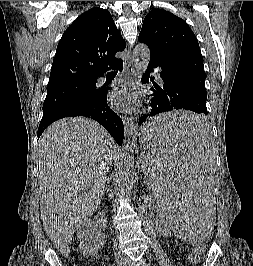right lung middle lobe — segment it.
<instances>
[{
	"label": "right lung middle lobe",
	"mask_w": 253,
	"mask_h": 266,
	"mask_svg": "<svg viewBox=\"0 0 253 266\" xmlns=\"http://www.w3.org/2000/svg\"><path fill=\"white\" fill-rule=\"evenodd\" d=\"M96 80L68 82L47 87L41 121L67 115L92 105L99 97Z\"/></svg>",
	"instance_id": "obj_1"
}]
</instances>
